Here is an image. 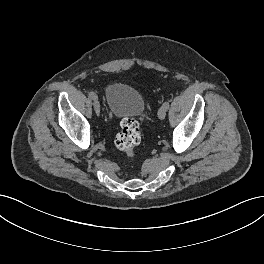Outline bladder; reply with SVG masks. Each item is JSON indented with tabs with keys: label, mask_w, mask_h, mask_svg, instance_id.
Instances as JSON below:
<instances>
[{
	"label": "bladder",
	"mask_w": 264,
	"mask_h": 264,
	"mask_svg": "<svg viewBox=\"0 0 264 264\" xmlns=\"http://www.w3.org/2000/svg\"><path fill=\"white\" fill-rule=\"evenodd\" d=\"M105 99L110 112L116 117L131 118L144 112L143 96L134 87L112 82L107 85Z\"/></svg>",
	"instance_id": "bladder-1"
}]
</instances>
